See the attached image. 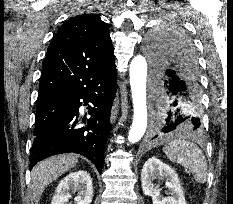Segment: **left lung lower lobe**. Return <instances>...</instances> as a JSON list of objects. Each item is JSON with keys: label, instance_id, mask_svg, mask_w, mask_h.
<instances>
[{"label": "left lung lower lobe", "instance_id": "left-lung-lower-lobe-1", "mask_svg": "<svg viewBox=\"0 0 233 204\" xmlns=\"http://www.w3.org/2000/svg\"><path fill=\"white\" fill-rule=\"evenodd\" d=\"M152 88L158 109L152 125V139L175 131L199 134L201 123V88L194 59L171 55L159 69H153Z\"/></svg>", "mask_w": 233, "mask_h": 204}]
</instances>
